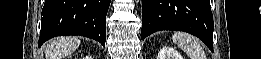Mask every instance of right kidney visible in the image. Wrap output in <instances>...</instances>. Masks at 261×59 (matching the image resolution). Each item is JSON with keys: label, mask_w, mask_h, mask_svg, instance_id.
<instances>
[{"label": "right kidney", "mask_w": 261, "mask_h": 59, "mask_svg": "<svg viewBox=\"0 0 261 59\" xmlns=\"http://www.w3.org/2000/svg\"><path fill=\"white\" fill-rule=\"evenodd\" d=\"M85 59H91V57H86Z\"/></svg>", "instance_id": "ca27d5eb"}]
</instances>
